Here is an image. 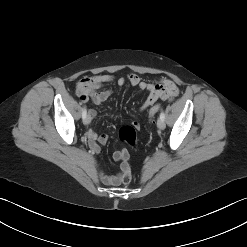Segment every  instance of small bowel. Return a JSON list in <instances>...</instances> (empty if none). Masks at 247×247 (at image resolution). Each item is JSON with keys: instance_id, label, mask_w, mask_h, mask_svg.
<instances>
[{"instance_id": "1", "label": "small bowel", "mask_w": 247, "mask_h": 247, "mask_svg": "<svg viewBox=\"0 0 247 247\" xmlns=\"http://www.w3.org/2000/svg\"><path fill=\"white\" fill-rule=\"evenodd\" d=\"M126 80L134 87L139 88L142 91L148 93L145 101L140 107L141 111H145L150 106L154 105L159 99L162 100H172L178 95L177 85L170 79L163 78L156 83H147L143 81L137 74L130 73L127 79L124 77H119L116 80L118 86H123ZM115 81L112 75L108 74H98L90 77H85L81 79L76 85V93L82 102L92 101L94 104H101L106 101L112 94V90L100 88L107 84ZM90 115L94 116L95 112L90 111ZM87 136L92 141L97 140L101 144H105L108 141V136L106 134L97 135L94 131L89 130ZM92 149L97 153L99 152V147L96 144H92ZM114 159L117 161L122 160L120 151H116L113 155ZM123 172V167H122ZM100 178L103 183L107 185L117 186L121 182V175H105L100 172Z\"/></svg>"}]
</instances>
